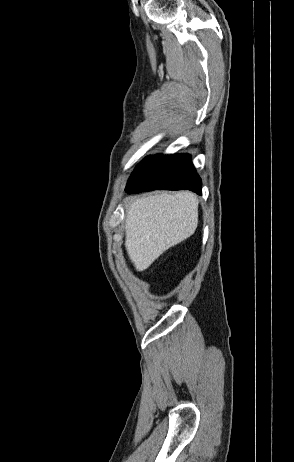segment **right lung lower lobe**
Wrapping results in <instances>:
<instances>
[{"label": "right lung lower lobe", "instance_id": "obj_1", "mask_svg": "<svg viewBox=\"0 0 294 462\" xmlns=\"http://www.w3.org/2000/svg\"><path fill=\"white\" fill-rule=\"evenodd\" d=\"M201 179L188 154L148 156L131 174L125 191L191 190L202 194Z\"/></svg>", "mask_w": 294, "mask_h": 462}]
</instances>
